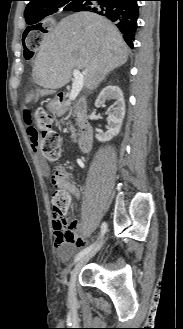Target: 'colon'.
<instances>
[{
    "mask_svg": "<svg viewBox=\"0 0 183 329\" xmlns=\"http://www.w3.org/2000/svg\"><path fill=\"white\" fill-rule=\"evenodd\" d=\"M40 19V25H26V31H20V44L24 49V57L31 60L38 49H43V38H47V32L52 31L54 19ZM35 125H31V139L39 147L40 153L48 161H56L60 155V140L58 134L50 128L51 117L43 110L38 109L34 115ZM32 119L30 123H32ZM55 170L52 175L54 190L52 193L53 215L59 218L64 228L71 230L73 225L67 221L66 215L71 206V196L68 188L59 183L55 178L59 175Z\"/></svg>",
    "mask_w": 183,
    "mask_h": 329,
    "instance_id": "1",
    "label": "colon"
}]
</instances>
